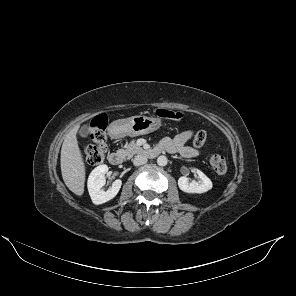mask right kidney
I'll list each match as a JSON object with an SVG mask.
<instances>
[{"label":"right kidney","mask_w":296,"mask_h":296,"mask_svg":"<svg viewBox=\"0 0 296 296\" xmlns=\"http://www.w3.org/2000/svg\"><path fill=\"white\" fill-rule=\"evenodd\" d=\"M107 172L108 166L103 164L96 167L89 175L87 187L91 200L95 205L110 201L118 194L121 188L122 181L117 179L107 191L101 189L106 183L105 174Z\"/></svg>","instance_id":"obj_1"}]
</instances>
